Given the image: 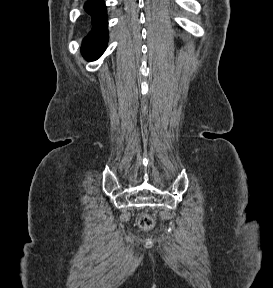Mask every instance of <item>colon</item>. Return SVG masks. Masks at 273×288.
Listing matches in <instances>:
<instances>
[{
	"label": "colon",
	"mask_w": 273,
	"mask_h": 288,
	"mask_svg": "<svg viewBox=\"0 0 273 288\" xmlns=\"http://www.w3.org/2000/svg\"><path fill=\"white\" fill-rule=\"evenodd\" d=\"M139 224L144 230H148L153 227L154 219L151 215L144 213L139 218Z\"/></svg>",
	"instance_id": "1"
}]
</instances>
